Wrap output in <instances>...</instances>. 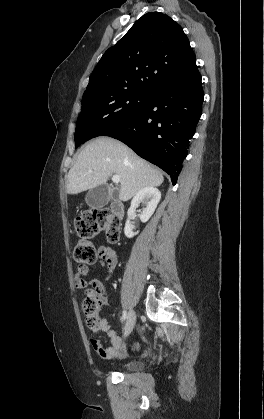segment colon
Masks as SVG:
<instances>
[{
	"mask_svg": "<svg viewBox=\"0 0 264 419\" xmlns=\"http://www.w3.org/2000/svg\"><path fill=\"white\" fill-rule=\"evenodd\" d=\"M75 230L79 237L74 248V259L81 264H93L97 254L91 238L99 233H104L106 239L111 243H116L120 237V221L107 209H94L88 211L75 220ZM100 299L87 293L83 303V311L86 315V322L90 329L98 327V313L101 307Z\"/></svg>",
	"mask_w": 264,
	"mask_h": 419,
	"instance_id": "1",
	"label": "colon"
}]
</instances>
